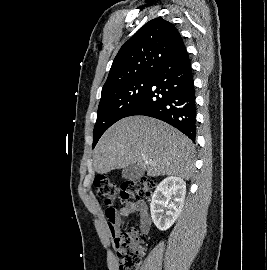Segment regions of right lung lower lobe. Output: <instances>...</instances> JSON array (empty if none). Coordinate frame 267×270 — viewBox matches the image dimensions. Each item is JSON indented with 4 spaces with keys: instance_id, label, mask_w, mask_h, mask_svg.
I'll use <instances>...</instances> for the list:
<instances>
[{
    "instance_id": "right-lung-lower-lobe-1",
    "label": "right lung lower lobe",
    "mask_w": 267,
    "mask_h": 270,
    "mask_svg": "<svg viewBox=\"0 0 267 270\" xmlns=\"http://www.w3.org/2000/svg\"><path fill=\"white\" fill-rule=\"evenodd\" d=\"M133 115L163 120L195 141V89L185 45L153 74L147 92L125 117Z\"/></svg>"
}]
</instances>
